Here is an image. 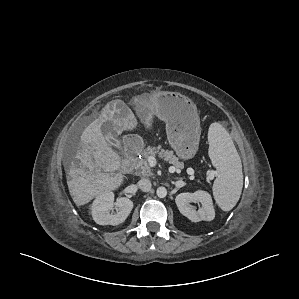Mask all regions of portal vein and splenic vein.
I'll return each instance as SVG.
<instances>
[{"mask_svg":"<svg viewBox=\"0 0 299 299\" xmlns=\"http://www.w3.org/2000/svg\"><path fill=\"white\" fill-rule=\"evenodd\" d=\"M149 162L152 166L156 165V163H157L156 159L153 156L149 157ZM175 170H176L175 167H173V166L169 167V172L173 173V172H175ZM187 172L189 175H194V173H195L193 168H188Z\"/></svg>","mask_w":299,"mask_h":299,"instance_id":"1","label":"portal vein and splenic vein"}]
</instances>
